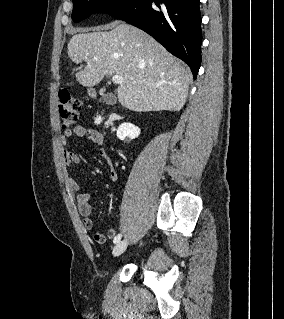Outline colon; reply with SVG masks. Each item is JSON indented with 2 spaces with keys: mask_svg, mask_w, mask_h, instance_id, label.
Listing matches in <instances>:
<instances>
[{
  "mask_svg": "<svg viewBox=\"0 0 284 319\" xmlns=\"http://www.w3.org/2000/svg\"><path fill=\"white\" fill-rule=\"evenodd\" d=\"M80 108V101L77 98L68 91L61 92L58 110L64 130L69 129L77 121Z\"/></svg>",
  "mask_w": 284,
  "mask_h": 319,
  "instance_id": "5ec220e1",
  "label": "colon"
}]
</instances>
